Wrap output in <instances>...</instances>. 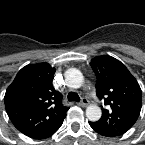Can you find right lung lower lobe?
Returning a JSON list of instances; mask_svg holds the SVG:
<instances>
[{"instance_id":"98d812e1","label":"right lung lower lobe","mask_w":145,"mask_h":145,"mask_svg":"<svg viewBox=\"0 0 145 145\" xmlns=\"http://www.w3.org/2000/svg\"><path fill=\"white\" fill-rule=\"evenodd\" d=\"M64 120V119H63ZM63 120H61L56 126H54L52 129L44 132V133H41V134H38V135H34L32 136L31 138L33 139H45V138H48L50 137L52 134H54L59 128L60 126L62 125L63 123Z\"/></svg>"}]
</instances>
